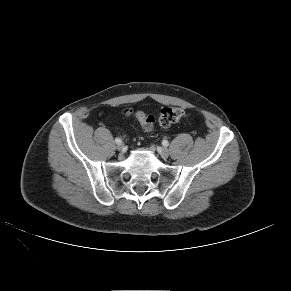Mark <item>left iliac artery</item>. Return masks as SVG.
I'll return each instance as SVG.
<instances>
[{
  "label": "left iliac artery",
  "instance_id": "obj_1",
  "mask_svg": "<svg viewBox=\"0 0 291 291\" xmlns=\"http://www.w3.org/2000/svg\"><path fill=\"white\" fill-rule=\"evenodd\" d=\"M163 146L167 147L169 145V142L167 140L162 141Z\"/></svg>",
  "mask_w": 291,
  "mask_h": 291
}]
</instances>
